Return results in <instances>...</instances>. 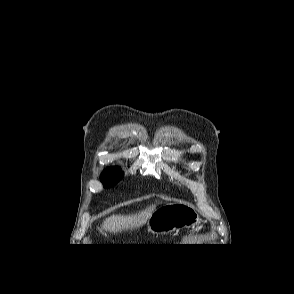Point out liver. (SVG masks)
Wrapping results in <instances>:
<instances>
[{"label": "liver", "instance_id": "liver-1", "mask_svg": "<svg viewBox=\"0 0 294 294\" xmlns=\"http://www.w3.org/2000/svg\"><path fill=\"white\" fill-rule=\"evenodd\" d=\"M155 209L156 204H152L136 214L112 215L103 221L101 231L103 230L110 233H118L140 228L148 222V219Z\"/></svg>", "mask_w": 294, "mask_h": 294}]
</instances>
